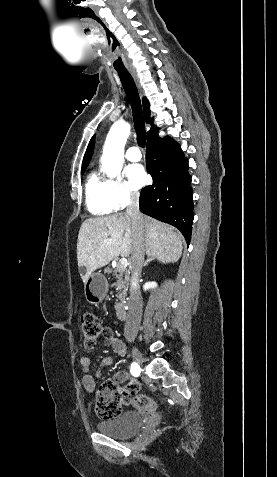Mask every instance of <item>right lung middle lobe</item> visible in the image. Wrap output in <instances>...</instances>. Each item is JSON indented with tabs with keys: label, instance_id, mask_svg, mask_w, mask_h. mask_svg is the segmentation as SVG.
<instances>
[{
	"label": "right lung middle lobe",
	"instance_id": "right-lung-middle-lobe-1",
	"mask_svg": "<svg viewBox=\"0 0 277 477\" xmlns=\"http://www.w3.org/2000/svg\"><path fill=\"white\" fill-rule=\"evenodd\" d=\"M85 170H86V169H82V170H81V174H83V173L85 172Z\"/></svg>",
	"mask_w": 277,
	"mask_h": 477
}]
</instances>
